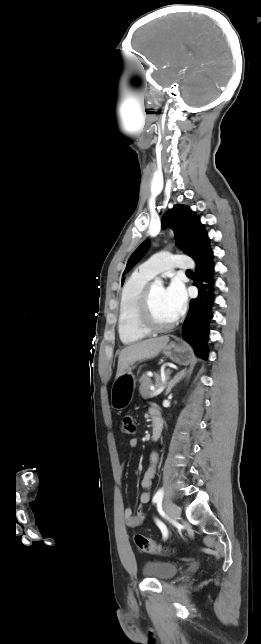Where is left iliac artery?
I'll return each mask as SVG.
<instances>
[{"mask_svg": "<svg viewBox=\"0 0 261 644\" xmlns=\"http://www.w3.org/2000/svg\"><path fill=\"white\" fill-rule=\"evenodd\" d=\"M163 495H164L163 490H162V489H159V490L156 492V494L154 495V497H153V502H154V503H156V502H161V501H162V499H163ZM156 524H157V526L160 528V530H161V532H162V534H163V537H164V538H166V537L168 536V530H167V527H166V526H165L161 521H159V520H157V519H156Z\"/></svg>", "mask_w": 261, "mask_h": 644, "instance_id": "left-iliac-artery-1", "label": "left iliac artery"}]
</instances>
